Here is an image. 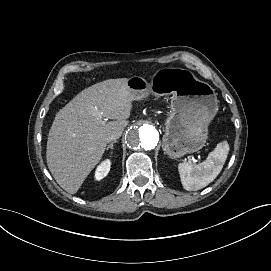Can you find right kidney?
<instances>
[{
  "instance_id": "1",
  "label": "right kidney",
  "mask_w": 271,
  "mask_h": 271,
  "mask_svg": "<svg viewBox=\"0 0 271 271\" xmlns=\"http://www.w3.org/2000/svg\"><path fill=\"white\" fill-rule=\"evenodd\" d=\"M109 170H110V162L106 161L102 163L96 172V175H95L96 179L101 180L104 176L108 174Z\"/></svg>"
}]
</instances>
